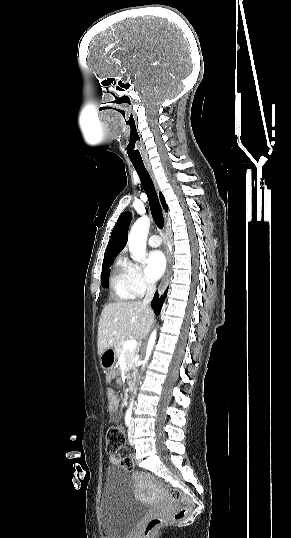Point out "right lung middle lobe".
Masks as SVG:
<instances>
[{
  "label": "right lung middle lobe",
  "instance_id": "obj_1",
  "mask_svg": "<svg viewBox=\"0 0 291 538\" xmlns=\"http://www.w3.org/2000/svg\"><path fill=\"white\" fill-rule=\"evenodd\" d=\"M114 259H110L108 261H104L102 265V273H101V284L103 287H108V278L110 275V267L113 263Z\"/></svg>",
  "mask_w": 291,
  "mask_h": 538
}]
</instances>
